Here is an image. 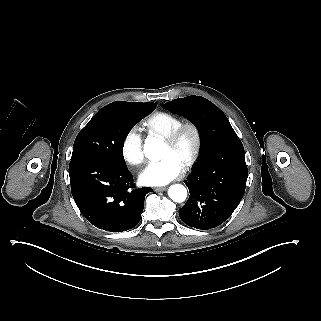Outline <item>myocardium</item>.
<instances>
[{
  "mask_svg": "<svg viewBox=\"0 0 321 321\" xmlns=\"http://www.w3.org/2000/svg\"><path fill=\"white\" fill-rule=\"evenodd\" d=\"M187 133H191L193 135V146L188 155L185 158L184 162V170L191 169L194 164L199 159L202 146H203V137L200 127L192 121L184 122L180 126H178L175 130H173L170 134L162 136L163 140L169 144L173 150H179L181 142L184 136Z\"/></svg>",
  "mask_w": 321,
  "mask_h": 321,
  "instance_id": "obj_1",
  "label": "myocardium"
}]
</instances>
